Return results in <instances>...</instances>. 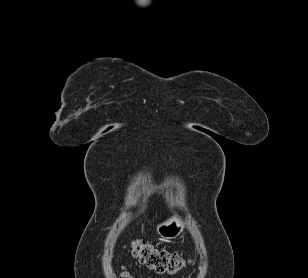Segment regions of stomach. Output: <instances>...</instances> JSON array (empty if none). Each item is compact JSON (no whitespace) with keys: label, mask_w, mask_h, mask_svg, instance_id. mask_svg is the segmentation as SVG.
<instances>
[{"label":"stomach","mask_w":308,"mask_h":278,"mask_svg":"<svg viewBox=\"0 0 308 278\" xmlns=\"http://www.w3.org/2000/svg\"><path fill=\"white\" fill-rule=\"evenodd\" d=\"M185 229V222L180 217H171L166 221L159 223L156 227L157 233L163 239H175L177 238Z\"/></svg>","instance_id":"obj_1"}]
</instances>
